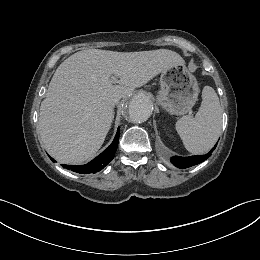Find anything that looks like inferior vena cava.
I'll list each match as a JSON object with an SVG mask.
<instances>
[{
    "label": "inferior vena cava",
    "mask_w": 260,
    "mask_h": 260,
    "mask_svg": "<svg viewBox=\"0 0 260 260\" xmlns=\"http://www.w3.org/2000/svg\"><path fill=\"white\" fill-rule=\"evenodd\" d=\"M119 100L116 102V105L118 104Z\"/></svg>",
    "instance_id": "inferior-vena-cava-1"
}]
</instances>
